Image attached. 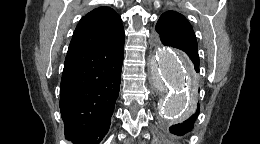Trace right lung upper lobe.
<instances>
[{"mask_svg": "<svg viewBox=\"0 0 260 144\" xmlns=\"http://www.w3.org/2000/svg\"><path fill=\"white\" fill-rule=\"evenodd\" d=\"M124 37L121 17L110 7H99L81 18L74 31L68 53L116 42Z\"/></svg>", "mask_w": 260, "mask_h": 144, "instance_id": "obj_1", "label": "right lung upper lobe"}]
</instances>
